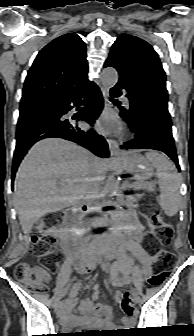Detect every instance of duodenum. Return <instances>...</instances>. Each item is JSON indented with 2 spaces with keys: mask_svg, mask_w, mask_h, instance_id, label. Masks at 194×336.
<instances>
[{
  "mask_svg": "<svg viewBox=\"0 0 194 336\" xmlns=\"http://www.w3.org/2000/svg\"><path fill=\"white\" fill-rule=\"evenodd\" d=\"M84 210H86L85 204L80 203L70 208L64 215L63 251L72 257L75 263L94 268L97 260L104 256V249L98 246L91 248L86 244L79 228V221Z\"/></svg>",
  "mask_w": 194,
  "mask_h": 336,
  "instance_id": "duodenum-1",
  "label": "duodenum"
}]
</instances>
